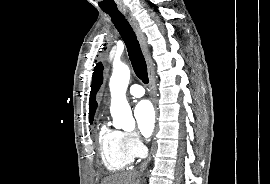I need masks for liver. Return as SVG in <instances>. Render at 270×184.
Returning <instances> with one entry per match:
<instances>
[{
  "label": "liver",
  "instance_id": "liver-1",
  "mask_svg": "<svg viewBox=\"0 0 270 184\" xmlns=\"http://www.w3.org/2000/svg\"><path fill=\"white\" fill-rule=\"evenodd\" d=\"M135 173L115 174L106 177L101 184H135Z\"/></svg>",
  "mask_w": 270,
  "mask_h": 184
}]
</instances>
